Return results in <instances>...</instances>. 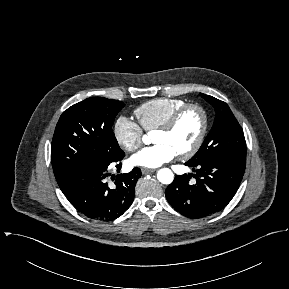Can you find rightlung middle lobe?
Returning a JSON list of instances; mask_svg holds the SVG:
<instances>
[{
  "label": "right lung middle lobe",
  "instance_id": "right-lung-middle-lobe-1",
  "mask_svg": "<svg viewBox=\"0 0 289 289\" xmlns=\"http://www.w3.org/2000/svg\"><path fill=\"white\" fill-rule=\"evenodd\" d=\"M124 106L118 100L92 97L62 113L51 144V163L58 183L73 171L111 162L123 152L112 125Z\"/></svg>",
  "mask_w": 289,
  "mask_h": 289
}]
</instances>
